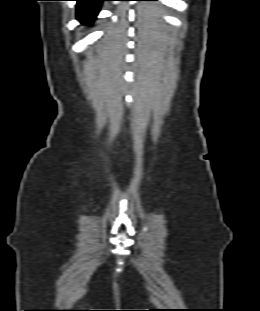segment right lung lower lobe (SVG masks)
Returning a JSON list of instances; mask_svg holds the SVG:
<instances>
[{"mask_svg": "<svg viewBox=\"0 0 260 311\" xmlns=\"http://www.w3.org/2000/svg\"><path fill=\"white\" fill-rule=\"evenodd\" d=\"M77 1V19L85 25H90L95 20L101 2L104 0H76Z\"/></svg>", "mask_w": 260, "mask_h": 311, "instance_id": "right-lung-lower-lobe-1", "label": "right lung lower lobe"}]
</instances>
